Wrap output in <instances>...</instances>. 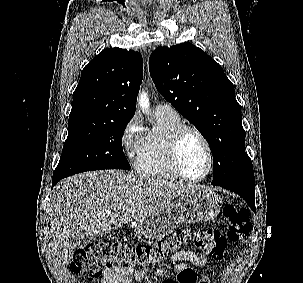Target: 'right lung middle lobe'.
<instances>
[{"label":"right lung middle lobe","instance_id":"obj_1","mask_svg":"<svg viewBox=\"0 0 303 283\" xmlns=\"http://www.w3.org/2000/svg\"><path fill=\"white\" fill-rule=\"evenodd\" d=\"M129 121L69 120L68 137L53 175L67 177L92 170L130 169L122 148Z\"/></svg>","mask_w":303,"mask_h":283}]
</instances>
